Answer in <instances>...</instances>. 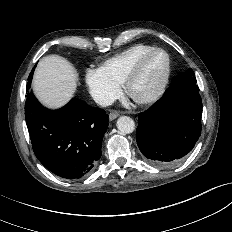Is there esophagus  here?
I'll use <instances>...</instances> for the list:
<instances>
[{
    "instance_id": "obj_1",
    "label": "esophagus",
    "mask_w": 232,
    "mask_h": 232,
    "mask_svg": "<svg viewBox=\"0 0 232 232\" xmlns=\"http://www.w3.org/2000/svg\"><path fill=\"white\" fill-rule=\"evenodd\" d=\"M118 116H119V113H117V112H111L109 114V119H110V121H112V120L116 119Z\"/></svg>"
}]
</instances>
